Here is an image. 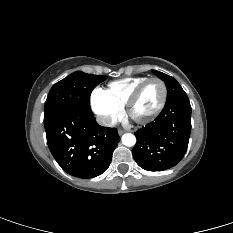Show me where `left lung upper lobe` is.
I'll list each match as a JSON object with an SVG mask.
<instances>
[{
    "label": "left lung upper lobe",
    "instance_id": "5c2ea615",
    "mask_svg": "<svg viewBox=\"0 0 233 233\" xmlns=\"http://www.w3.org/2000/svg\"><path fill=\"white\" fill-rule=\"evenodd\" d=\"M160 79H162L167 87V100L169 101L171 99H173L174 97L180 95V94H184V90L182 89V87L180 86V84L171 76L156 71V70H152Z\"/></svg>",
    "mask_w": 233,
    "mask_h": 233
}]
</instances>
